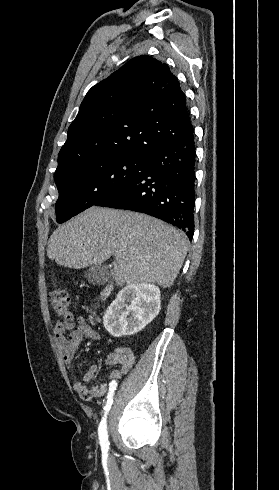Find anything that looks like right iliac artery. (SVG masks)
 <instances>
[{
    "instance_id": "1",
    "label": "right iliac artery",
    "mask_w": 279,
    "mask_h": 490,
    "mask_svg": "<svg viewBox=\"0 0 279 490\" xmlns=\"http://www.w3.org/2000/svg\"><path fill=\"white\" fill-rule=\"evenodd\" d=\"M117 384H118V381L116 379H113L109 384L110 387H109V393L107 395V403H106V406L104 407L105 414H104V417L101 420L99 428H98V435H99V440H100V445H101L102 451H107V449L110 445V443L108 441L106 418H107V414L111 408V405L113 403L114 391H116L118 388Z\"/></svg>"
}]
</instances>
